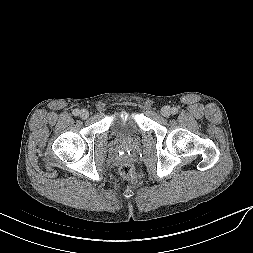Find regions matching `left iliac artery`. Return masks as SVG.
Masks as SVG:
<instances>
[{
	"label": "left iliac artery",
	"instance_id": "44dca946",
	"mask_svg": "<svg viewBox=\"0 0 253 253\" xmlns=\"http://www.w3.org/2000/svg\"><path fill=\"white\" fill-rule=\"evenodd\" d=\"M171 110H172V111H171L172 114H176V113L178 112L177 108H175V107H173Z\"/></svg>",
	"mask_w": 253,
	"mask_h": 253
}]
</instances>
